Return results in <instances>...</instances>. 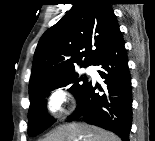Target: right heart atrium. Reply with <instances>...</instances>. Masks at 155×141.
I'll list each match as a JSON object with an SVG mask.
<instances>
[{
    "label": "right heart atrium",
    "instance_id": "right-heart-atrium-1",
    "mask_svg": "<svg viewBox=\"0 0 155 141\" xmlns=\"http://www.w3.org/2000/svg\"><path fill=\"white\" fill-rule=\"evenodd\" d=\"M69 102L70 96L65 91L55 89L47 97V110L51 115L59 117L66 112Z\"/></svg>",
    "mask_w": 155,
    "mask_h": 141
}]
</instances>
